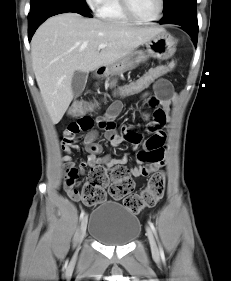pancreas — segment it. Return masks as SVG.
<instances>
[{
	"label": "pancreas",
	"mask_w": 231,
	"mask_h": 281,
	"mask_svg": "<svg viewBox=\"0 0 231 281\" xmlns=\"http://www.w3.org/2000/svg\"><path fill=\"white\" fill-rule=\"evenodd\" d=\"M112 74V73H109ZM116 81L111 82V87H113L115 85Z\"/></svg>",
	"instance_id": "cf45deb5"
}]
</instances>
